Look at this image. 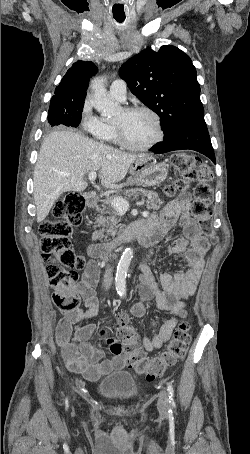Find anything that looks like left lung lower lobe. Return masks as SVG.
I'll list each match as a JSON object with an SVG mask.
<instances>
[{"label": "left lung lower lobe", "instance_id": "left-lung-lower-lobe-1", "mask_svg": "<svg viewBox=\"0 0 250 454\" xmlns=\"http://www.w3.org/2000/svg\"><path fill=\"white\" fill-rule=\"evenodd\" d=\"M183 149L198 151L216 163L205 121L193 122L182 127L173 136L155 144L150 150L161 154Z\"/></svg>", "mask_w": 250, "mask_h": 454}]
</instances>
